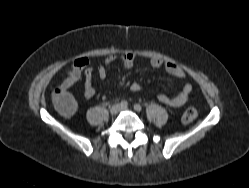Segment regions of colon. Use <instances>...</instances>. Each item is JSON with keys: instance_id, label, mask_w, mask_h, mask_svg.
<instances>
[{"instance_id": "colon-1", "label": "colon", "mask_w": 249, "mask_h": 188, "mask_svg": "<svg viewBox=\"0 0 249 188\" xmlns=\"http://www.w3.org/2000/svg\"><path fill=\"white\" fill-rule=\"evenodd\" d=\"M51 100L54 108L62 116L71 117L77 111V102L68 90L57 87L52 95ZM197 117V110L193 107L186 109L182 115V121L184 123H191Z\"/></svg>"}]
</instances>
